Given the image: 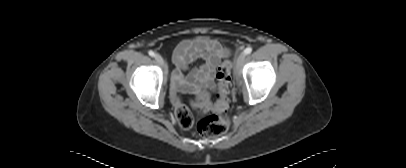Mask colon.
I'll return each mask as SVG.
<instances>
[{"label": "colon", "instance_id": "colon-1", "mask_svg": "<svg viewBox=\"0 0 406 168\" xmlns=\"http://www.w3.org/2000/svg\"><path fill=\"white\" fill-rule=\"evenodd\" d=\"M216 79L218 85L216 103L213 106L204 103L193 105L197 117V130L203 138L220 136L226 132L229 126L227 116L205 113L209 107L217 112H223L229 107L231 86V64L229 61L221 63L216 73ZM175 116L179 125L184 129H189L194 124V113L189 106L181 102L176 105Z\"/></svg>", "mask_w": 406, "mask_h": 168}]
</instances>
